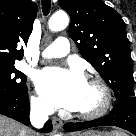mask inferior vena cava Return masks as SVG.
<instances>
[{
    "label": "inferior vena cava",
    "mask_w": 136,
    "mask_h": 136,
    "mask_svg": "<svg viewBox=\"0 0 136 136\" xmlns=\"http://www.w3.org/2000/svg\"><path fill=\"white\" fill-rule=\"evenodd\" d=\"M54 112V108L46 105L45 103H35L31 105L30 110V121L31 124L36 128L44 126L48 120V116Z\"/></svg>",
    "instance_id": "602c4592"
}]
</instances>
